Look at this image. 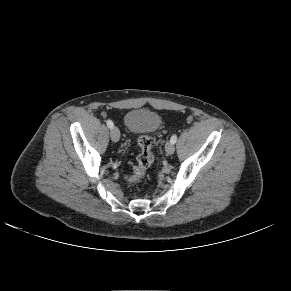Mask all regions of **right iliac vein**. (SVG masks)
<instances>
[{
	"label": "right iliac vein",
	"instance_id": "63e3f726",
	"mask_svg": "<svg viewBox=\"0 0 291 291\" xmlns=\"http://www.w3.org/2000/svg\"><path fill=\"white\" fill-rule=\"evenodd\" d=\"M110 136L113 142H118L120 139V131L117 127H113L110 132Z\"/></svg>",
	"mask_w": 291,
	"mask_h": 291
}]
</instances>
